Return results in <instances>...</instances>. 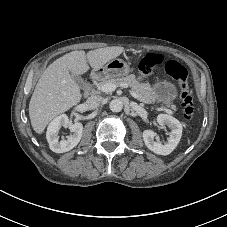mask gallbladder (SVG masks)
Segmentation results:
<instances>
[{"mask_svg":"<svg viewBox=\"0 0 227 227\" xmlns=\"http://www.w3.org/2000/svg\"><path fill=\"white\" fill-rule=\"evenodd\" d=\"M73 78H74L75 82L77 83V85L79 87H83L84 86L85 81L83 80V78L81 76L73 75Z\"/></svg>","mask_w":227,"mask_h":227,"instance_id":"obj_1","label":"gallbladder"}]
</instances>
